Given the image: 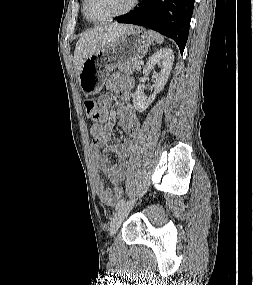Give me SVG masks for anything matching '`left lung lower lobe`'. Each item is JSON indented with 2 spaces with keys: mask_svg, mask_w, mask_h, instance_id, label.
<instances>
[{
  "mask_svg": "<svg viewBox=\"0 0 253 285\" xmlns=\"http://www.w3.org/2000/svg\"><path fill=\"white\" fill-rule=\"evenodd\" d=\"M195 0H143L117 22L142 25L171 39L182 53L189 34Z\"/></svg>",
  "mask_w": 253,
  "mask_h": 285,
  "instance_id": "0a47b994",
  "label": "left lung lower lobe"
}]
</instances>
